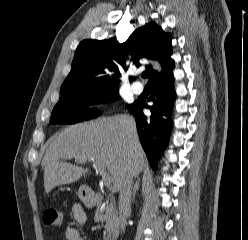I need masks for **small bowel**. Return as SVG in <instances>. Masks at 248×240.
I'll use <instances>...</instances> for the list:
<instances>
[{
    "mask_svg": "<svg viewBox=\"0 0 248 240\" xmlns=\"http://www.w3.org/2000/svg\"><path fill=\"white\" fill-rule=\"evenodd\" d=\"M71 210L76 221L79 223H84L86 221V214L80 204H73ZM64 236L65 240H84L79 230L76 228H67Z\"/></svg>",
    "mask_w": 248,
    "mask_h": 240,
    "instance_id": "small-bowel-1",
    "label": "small bowel"
}]
</instances>
